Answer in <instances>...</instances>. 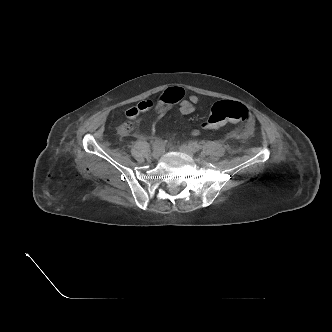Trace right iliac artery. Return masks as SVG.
<instances>
[{
  "mask_svg": "<svg viewBox=\"0 0 332 332\" xmlns=\"http://www.w3.org/2000/svg\"><path fill=\"white\" fill-rule=\"evenodd\" d=\"M163 146V140L162 139H156L153 144L152 147L153 149L159 148Z\"/></svg>",
  "mask_w": 332,
  "mask_h": 332,
  "instance_id": "1",
  "label": "right iliac artery"
}]
</instances>
